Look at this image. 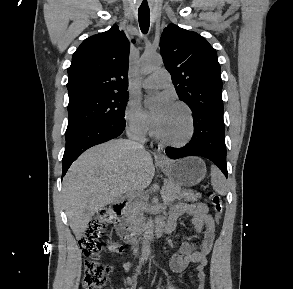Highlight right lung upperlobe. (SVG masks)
Wrapping results in <instances>:
<instances>
[{
  "label": "right lung upper lobe",
  "mask_w": 293,
  "mask_h": 289,
  "mask_svg": "<svg viewBox=\"0 0 293 289\" xmlns=\"http://www.w3.org/2000/svg\"><path fill=\"white\" fill-rule=\"evenodd\" d=\"M129 50V41L117 25L85 39L68 68L69 101L89 95L127 92Z\"/></svg>",
  "instance_id": "1"
}]
</instances>
